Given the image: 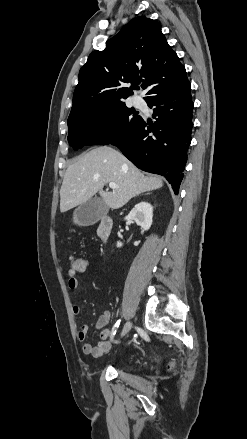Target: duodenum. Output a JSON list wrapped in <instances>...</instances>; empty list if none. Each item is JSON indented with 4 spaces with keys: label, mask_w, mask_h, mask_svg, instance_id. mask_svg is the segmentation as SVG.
I'll use <instances>...</instances> for the list:
<instances>
[{
    "label": "duodenum",
    "mask_w": 247,
    "mask_h": 439,
    "mask_svg": "<svg viewBox=\"0 0 247 439\" xmlns=\"http://www.w3.org/2000/svg\"><path fill=\"white\" fill-rule=\"evenodd\" d=\"M113 228V220L109 216H104L99 221L97 227V236L102 242H107L110 239Z\"/></svg>",
    "instance_id": "410a0bca"
}]
</instances>
